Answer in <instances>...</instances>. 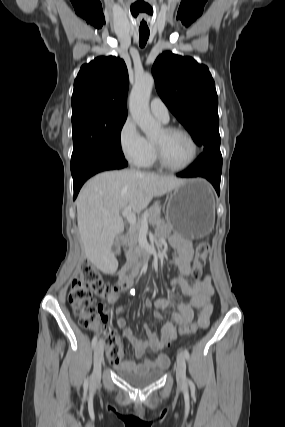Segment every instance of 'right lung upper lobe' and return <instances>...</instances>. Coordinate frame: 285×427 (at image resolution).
I'll return each instance as SVG.
<instances>
[{"label": "right lung upper lobe", "mask_w": 285, "mask_h": 427, "mask_svg": "<svg viewBox=\"0 0 285 427\" xmlns=\"http://www.w3.org/2000/svg\"><path fill=\"white\" fill-rule=\"evenodd\" d=\"M128 72L120 58L100 56L84 64L74 81L72 117L85 114L127 116Z\"/></svg>", "instance_id": "1"}]
</instances>
